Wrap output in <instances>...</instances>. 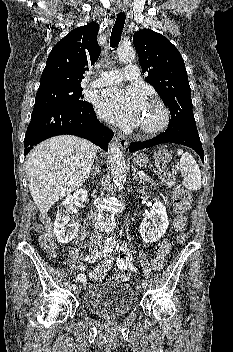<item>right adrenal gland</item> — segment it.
<instances>
[{
	"mask_svg": "<svg viewBox=\"0 0 233 352\" xmlns=\"http://www.w3.org/2000/svg\"><path fill=\"white\" fill-rule=\"evenodd\" d=\"M99 173H100V170H99V168H98L97 166L92 167V169H91V171H90V173L88 174V176H87L86 179H89L90 176L96 177V175L99 174Z\"/></svg>",
	"mask_w": 233,
	"mask_h": 352,
	"instance_id": "2a0ac1e0",
	"label": "right adrenal gland"
}]
</instances>
